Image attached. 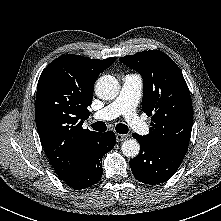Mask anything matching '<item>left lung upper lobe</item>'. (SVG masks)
Wrapping results in <instances>:
<instances>
[{
    "label": "left lung upper lobe",
    "mask_w": 221,
    "mask_h": 221,
    "mask_svg": "<svg viewBox=\"0 0 221 221\" xmlns=\"http://www.w3.org/2000/svg\"><path fill=\"white\" fill-rule=\"evenodd\" d=\"M143 78L142 110L152 116L150 145L185 155L191 136L193 106L188 86L175 62L159 50L120 58Z\"/></svg>",
    "instance_id": "obj_1"
}]
</instances>
